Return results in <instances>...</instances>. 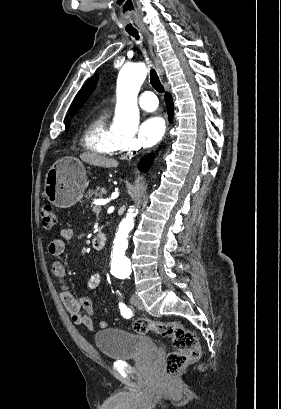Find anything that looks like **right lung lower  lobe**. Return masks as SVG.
Masks as SVG:
<instances>
[{
  "mask_svg": "<svg viewBox=\"0 0 281 409\" xmlns=\"http://www.w3.org/2000/svg\"><path fill=\"white\" fill-rule=\"evenodd\" d=\"M165 101H166V105H167L169 120L172 121V118H173V101H172V97H171V95L169 93L165 94ZM152 158H153V155H149V156L144 157L139 163V169L141 171L147 170L151 165Z\"/></svg>",
  "mask_w": 281,
  "mask_h": 409,
  "instance_id": "98d812e1",
  "label": "right lung lower lobe"
}]
</instances>
